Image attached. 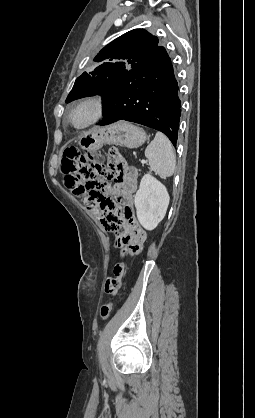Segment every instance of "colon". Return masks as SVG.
Listing matches in <instances>:
<instances>
[{
    "label": "colon",
    "instance_id": "obj_1",
    "mask_svg": "<svg viewBox=\"0 0 255 418\" xmlns=\"http://www.w3.org/2000/svg\"><path fill=\"white\" fill-rule=\"evenodd\" d=\"M61 171L65 175V186L83 201L94 214L96 221H108L110 230L112 228H141L134 217L118 220L115 202L105 195L110 188L108 180L114 178L117 173L115 163L105 166L100 154L83 153L76 147H67L63 153ZM116 242H119L118 237H116ZM120 285L121 280L119 287ZM112 306L111 301L102 304L101 319L106 320L110 316Z\"/></svg>",
    "mask_w": 255,
    "mask_h": 418
}]
</instances>
